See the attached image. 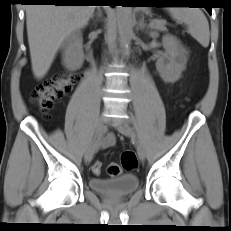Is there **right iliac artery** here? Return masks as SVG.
Listing matches in <instances>:
<instances>
[{"label": "right iliac artery", "instance_id": "obj_1", "mask_svg": "<svg viewBox=\"0 0 231 231\" xmlns=\"http://www.w3.org/2000/svg\"><path fill=\"white\" fill-rule=\"evenodd\" d=\"M99 140H100V139H99ZM99 140H98V141H99ZM99 143H100V142H99ZM99 143L97 142V147H99Z\"/></svg>", "mask_w": 231, "mask_h": 231}]
</instances>
